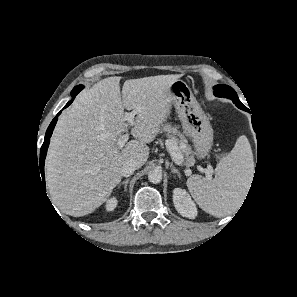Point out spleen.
I'll return each instance as SVG.
<instances>
[{"mask_svg":"<svg viewBox=\"0 0 297 297\" xmlns=\"http://www.w3.org/2000/svg\"><path fill=\"white\" fill-rule=\"evenodd\" d=\"M253 170L250 143L246 136H240L231 152L217 164L214 179L193 175L187 180V187L200 208L215 217H223L238 209Z\"/></svg>","mask_w":297,"mask_h":297,"instance_id":"1","label":"spleen"}]
</instances>
